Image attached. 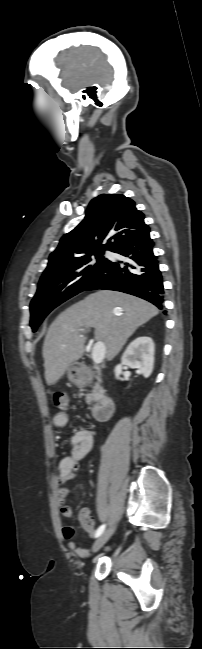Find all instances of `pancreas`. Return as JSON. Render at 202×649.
Segmentation results:
<instances>
[{
  "instance_id": "obj_1",
  "label": "pancreas",
  "mask_w": 202,
  "mask_h": 649,
  "mask_svg": "<svg viewBox=\"0 0 202 649\" xmlns=\"http://www.w3.org/2000/svg\"><path fill=\"white\" fill-rule=\"evenodd\" d=\"M96 378L98 382L95 384L93 392L87 394L86 396V402L88 405H91L94 401L98 400L102 395V393L104 392L103 388L100 386V382H101L100 376L98 375ZM86 380H87V376L83 378L82 383H84Z\"/></svg>"
}]
</instances>
